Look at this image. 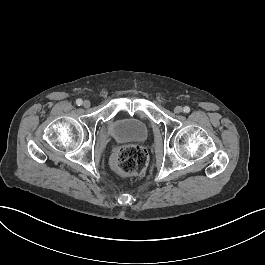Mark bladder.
Here are the masks:
<instances>
[{"label":"bladder","mask_w":265,"mask_h":265,"mask_svg":"<svg viewBox=\"0 0 265 265\" xmlns=\"http://www.w3.org/2000/svg\"><path fill=\"white\" fill-rule=\"evenodd\" d=\"M109 133L117 141L142 142L148 136V126L137 118H119L110 124Z\"/></svg>","instance_id":"1"}]
</instances>
